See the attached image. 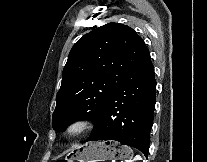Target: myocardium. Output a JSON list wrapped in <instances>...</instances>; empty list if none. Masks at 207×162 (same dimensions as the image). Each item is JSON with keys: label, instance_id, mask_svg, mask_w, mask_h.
Segmentation results:
<instances>
[{"label": "myocardium", "instance_id": "1", "mask_svg": "<svg viewBox=\"0 0 207 162\" xmlns=\"http://www.w3.org/2000/svg\"><path fill=\"white\" fill-rule=\"evenodd\" d=\"M92 125L88 118H78L69 123L65 129V134L69 138L78 137L87 132Z\"/></svg>", "mask_w": 207, "mask_h": 162}]
</instances>
